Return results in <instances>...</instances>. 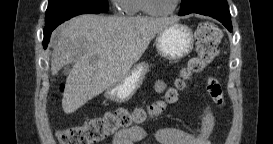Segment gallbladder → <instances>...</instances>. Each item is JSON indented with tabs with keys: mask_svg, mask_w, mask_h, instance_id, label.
<instances>
[{
	"mask_svg": "<svg viewBox=\"0 0 273 144\" xmlns=\"http://www.w3.org/2000/svg\"><path fill=\"white\" fill-rule=\"evenodd\" d=\"M62 74L65 76L67 73L64 71Z\"/></svg>",
	"mask_w": 273,
	"mask_h": 144,
	"instance_id": "1",
	"label": "gallbladder"
}]
</instances>
